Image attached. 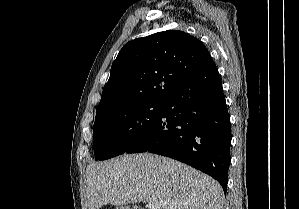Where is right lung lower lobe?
Instances as JSON below:
<instances>
[{"instance_id": "1", "label": "right lung lower lobe", "mask_w": 299, "mask_h": 209, "mask_svg": "<svg viewBox=\"0 0 299 209\" xmlns=\"http://www.w3.org/2000/svg\"><path fill=\"white\" fill-rule=\"evenodd\" d=\"M231 124L217 69L198 72L164 102L159 119L125 153L151 152L215 178L224 193L231 161Z\"/></svg>"}]
</instances>
